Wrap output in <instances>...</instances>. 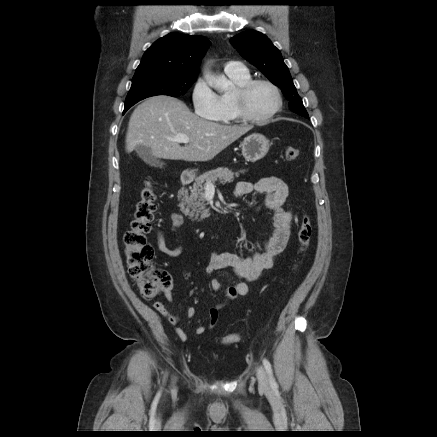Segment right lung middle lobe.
I'll return each mask as SVG.
<instances>
[{
  "label": "right lung middle lobe",
  "instance_id": "right-lung-middle-lobe-1",
  "mask_svg": "<svg viewBox=\"0 0 437 437\" xmlns=\"http://www.w3.org/2000/svg\"><path fill=\"white\" fill-rule=\"evenodd\" d=\"M197 76H176L158 69L135 72L131 89L125 100L123 114L134 104L147 97L184 95Z\"/></svg>",
  "mask_w": 437,
  "mask_h": 437
}]
</instances>
